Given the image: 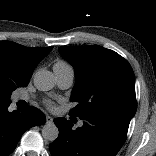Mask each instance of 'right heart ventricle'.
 I'll return each mask as SVG.
<instances>
[{"mask_svg": "<svg viewBox=\"0 0 156 156\" xmlns=\"http://www.w3.org/2000/svg\"><path fill=\"white\" fill-rule=\"evenodd\" d=\"M59 64H66V63H64V62H58Z\"/></svg>", "mask_w": 156, "mask_h": 156, "instance_id": "obj_1", "label": "right heart ventricle"}]
</instances>
